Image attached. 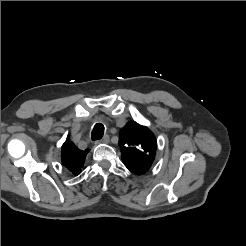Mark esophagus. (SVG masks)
Instances as JSON below:
<instances>
[{
  "label": "esophagus",
  "mask_w": 246,
  "mask_h": 246,
  "mask_svg": "<svg viewBox=\"0 0 246 246\" xmlns=\"http://www.w3.org/2000/svg\"><path fill=\"white\" fill-rule=\"evenodd\" d=\"M109 136L108 135H105L102 139L100 140H97L96 141V144H99V143H109Z\"/></svg>",
  "instance_id": "34e87169"
}]
</instances>
